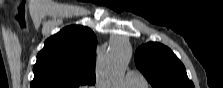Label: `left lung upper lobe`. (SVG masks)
<instances>
[{"label": "left lung upper lobe", "mask_w": 223, "mask_h": 88, "mask_svg": "<svg viewBox=\"0 0 223 88\" xmlns=\"http://www.w3.org/2000/svg\"><path fill=\"white\" fill-rule=\"evenodd\" d=\"M136 67L153 88H194L176 55L166 46L149 42L135 53Z\"/></svg>", "instance_id": "5c2ea615"}]
</instances>
